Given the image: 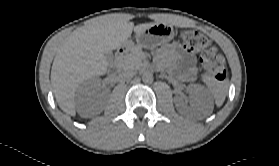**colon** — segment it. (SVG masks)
Returning <instances> with one entry per match:
<instances>
[{"label": "colon", "instance_id": "1", "mask_svg": "<svg viewBox=\"0 0 279 166\" xmlns=\"http://www.w3.org/2000/svg\"><path fill=\"white\" fill-rule=\"evenodd\" d=\"M181 40L186 49L200 52V61L206 71L219 81L226 79L224 60L215 48L209 47V39L205 35L198 31L185 30L181 33Z\"/></svg>", "mask_w": 279, "mask_h": 166}]
</instances>
